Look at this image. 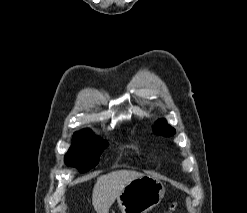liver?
Returning <instances> with one entry per match:
<instances>
[{
	"label": "liver",
	"mask_w": 247,
	"mask_h": 213,
	"mask_svg": "<svg viewBox=\"0 0 247 213\" xmlns=\"http://www.w3.org/2000/svg\"><path fill=\"white\" fill-rule=\"evenodd\" d=\"M144 176L142 173L120 170L97 178L92 193V204L97 213H108L115 199L131 181Z\"/></svg>",
	"instance_id": "liver-1"
}]
</instances>
